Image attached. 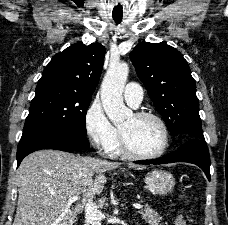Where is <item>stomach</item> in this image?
<instances>
[{
	"label": "stomach",
	"instance_id": "0dacf381",
	"mask_svg": "<svg viewBox=\"0 0 228 225\" xmlns=\"http://www.w3.org/2000/svg\"><path fill=\"white\" fill-rule=\"evenodd\" d=\"M144 183L153 195H167L175 187V179L168 171H152L145 177Z\"/></svg>",
	"mask_w": 228,
	"mask_h": 225
}]
</instances>
